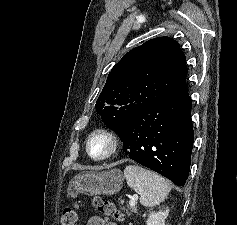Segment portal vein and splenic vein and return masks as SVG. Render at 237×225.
<instances>
[{
    "mask_svg": "<svg viewBox=\"0 0 237 225\" xmlns=\"http://www.w3.org/2000/svg\"><path fill=\"white\" fill-rule=\"evenodd\" d=\"M136 200H137V196H134L133 198H131V200H130V202H129V204H130L131 207H134V206H135Z\"/></svg>",
    "mask_w": 237,
    "mask_h": 225,
    "instance_id": "18ae733b",
    "label": "portal vein and splenic vein"
}]
</instances>
